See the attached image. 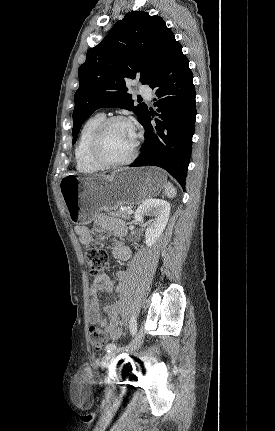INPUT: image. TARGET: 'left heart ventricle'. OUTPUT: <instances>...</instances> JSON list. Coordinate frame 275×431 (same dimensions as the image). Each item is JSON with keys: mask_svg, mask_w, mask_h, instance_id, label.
Listing matches in <instances>:
<instances>
[{"mask_svg": "<svg viewBox=\"0 0 275 431\" xmlns=\"http://www.w3.org/2000/svg\"><path fill=\"white\" fill-rule=\"evenodd\" d=\"M134 142L132 126L126 123H115L104 136L102 154L109 161H122L131 154Z\"/></svg>", "mask_w": 275, "mask_h": 431, "instance_id": "b2bd125f", "label": "left heart ventricle"}]
</instances>
